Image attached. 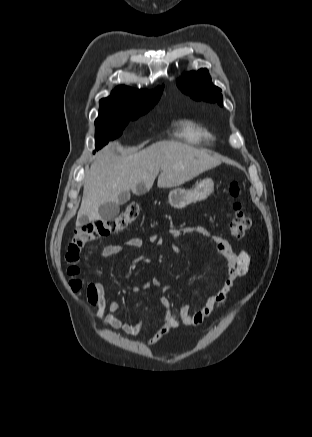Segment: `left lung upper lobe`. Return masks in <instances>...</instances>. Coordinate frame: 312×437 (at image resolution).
<instances>
[{
  "instance_id": "obj_1",
  "label": "left lung upper lobe",
  "mask_w": 312,
  "mask_h": 437,
  "mask_svg": "<svg viewBox=\"0 0 312 437\" xmlns=\"http://www.w3.org/2000/svg\"><path fill=\"white\" fill-rule=\"evenodd\" d=\"M177 86L194 100L216 102L223 106L221 89L212 84L207 69L186 73L177 81Z\"/></svg>"
}]
</instances>
